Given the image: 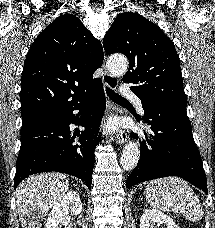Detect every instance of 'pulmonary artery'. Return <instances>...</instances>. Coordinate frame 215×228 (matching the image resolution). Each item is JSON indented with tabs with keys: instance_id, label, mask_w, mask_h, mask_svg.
<instances>
[{
	"instance_id": "obj_1",
	"label": "pulmonary artery",
	"mask_w": 215,
	"mask_h": 228,
	"mask_svg": "<svg viewBox=\"0 0 215 228\" xmlns=\"http://www.w3.org/2000/svg\"><path fill=\"white\" fill-rule=\"evenodd\" d=\"M132 89H134V84H119L117 93L119 96H132L129 97V102H135V110H139L140 113H144L142 97H137L136 95L132 94Z\"/></svg>"
}]
</instances>
